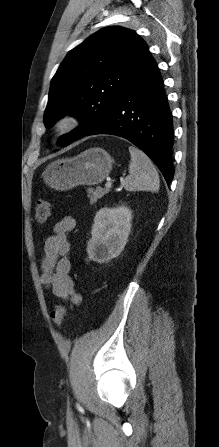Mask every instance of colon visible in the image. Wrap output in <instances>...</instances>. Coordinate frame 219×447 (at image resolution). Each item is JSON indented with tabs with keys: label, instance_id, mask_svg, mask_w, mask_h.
<instances>
[{
	"label": "colon",
	"instance_id": "colon-1",
	"mask_svg": "<svg viewBox=\"0 0 219 447\" xmlns=\"http://www.w3.org/2000/svg\"><path fill=\"white\" fill-rule=\"evenodd\" d=\"M51 212V204L46 199H40L36 203L35 216L38 223H45ZM67 308L64 305L57 304L50 312V317L53 323L57 326H61L67 317Z\"/></svg>",
	"mask_w": 219,
	"mask_h": 447
}]
</instances>
